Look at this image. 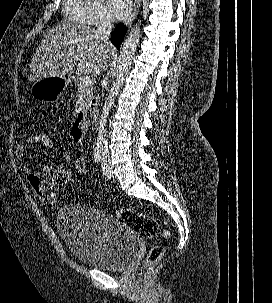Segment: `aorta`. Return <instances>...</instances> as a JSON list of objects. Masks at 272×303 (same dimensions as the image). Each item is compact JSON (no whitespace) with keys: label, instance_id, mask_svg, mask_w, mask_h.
Segmentation results:
<instances>
[{"label":"aorta","instance_id":"762f6f07","mask_svg":"<svg viewBox=\"0 0 272 303\" xmlns=\"http://www.w3.org/2000/svg\"><path fill=\"white\" fill-rule=\"evenodd\" d=\"M140 39V25L136 24L130 31L129 35L125 39L123 46L120 51L118 65H117V75L116 80L110 89L108 98L106 99L101 117L99 120V126L97 128V142L101 143L104 134H106V123L109 116V111L114 104L116 96L119 94L120 88L123 85V81L128 74L132 58L137 50Z\"/></svg>","mask_w":272,"mask_h":303}]
</instances>
